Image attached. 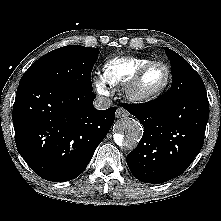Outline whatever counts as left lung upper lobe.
Instances as JSON below:
<instances>
[{"instance_id": "left-lung-upper-lobe-1", "label": "left lung upper lobe", "mask_w": 221, "mask_h": 221, "mask_svg": "<svg viewBox=\"0 0 221 221\" xmlns=\"http://www.w3.org/2000/svg\"><path fill=\"white\" fill-rule=\"evenodd\" d=\"M172 69V85L164 97L169 101L195 93H206L205 85L199 74L179 54L165 47Z\"/></svg>"}]
</instances>
